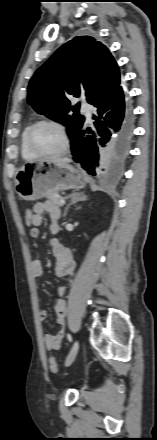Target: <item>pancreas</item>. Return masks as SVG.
<instances>
[{"label": "pancreas", "mask_w": 157, "mask_h": 440, "mask_svg": "<svg viewBox=\"0 0 157 440\" xmlns=\"http://www.w3.org/2000/svg\"><path fill=\"white\" fill-rule=\"evenodd\" d=\"M47 199L53 204V205H55V206H57V207H61L62 206V204H60V199H61V196L58 194V193H54V194H51V195H48L47 196Z\"/></svg>", "instance_id": "1"}]
</instances>
